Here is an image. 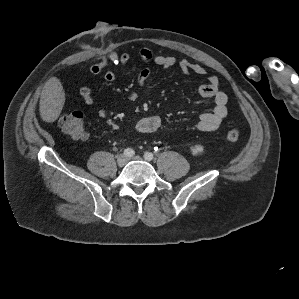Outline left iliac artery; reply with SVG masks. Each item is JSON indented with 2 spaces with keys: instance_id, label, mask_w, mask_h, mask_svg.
<instances>
[{
  "instance_id": "left-iliac-artery-1",
  "label": "left iliac artery",
  "mask_w": 299,
  "mask_h": 299,
  "mask_svg": "<svg viewBox=\"0 0 299 299\" xmlns=\"http://www.w3.org/2000/svg\"><path fill=\"white\" fill-rule=\"evenodd\" d=\"M144 158L148 161H151L153 159V154L151 152H146L144 154Z\"/></svg>"
}]
</instances>
